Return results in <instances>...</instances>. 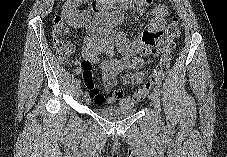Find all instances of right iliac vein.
I'll return each instance as SVG.
<instances>
[{
  "label": "right iliac vein",
  "instance_id": "obj_1",
  "mask_svg": "<svg viewBox=\"0 0 227 157\" xmlns=\"http://www.w3.org/2000/svg\"><path fill=\"white\" fill-rule=\"evenodd\" d=\"M74 93H75V96H76L77 98L80 97V95H81V88H80V86H76V87H75Z\"/></svg>",
  "mask_w": 227,
  "mask_h": 157
}]
</instances>
